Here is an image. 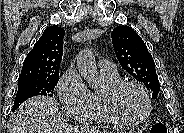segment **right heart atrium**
<instances>
[{
    "label": "right heart atrium",
    "instance_id": "right-heart-atrium-1",
    "mask_svg": "<svg viewBox=\"0 0 184 133\" xmlns=\"http://www.w3.org/2000/svg\"><path fill=\"white\" fill-rule=\"evenodd\" d=\"M57 92L65 113L73 120L88 122L93 111L91 91L73 68L60 78Z\"/></svg>",
    "mask_w": 184,
    "mask_h": 133
}]
</instances>
